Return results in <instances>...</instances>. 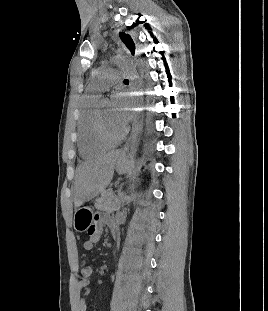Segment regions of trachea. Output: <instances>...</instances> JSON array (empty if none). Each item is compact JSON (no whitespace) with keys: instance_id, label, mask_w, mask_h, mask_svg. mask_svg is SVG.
<instances>
[{"instance_id":"3493384b","label":"trachea","mask_w":268,"mask_h":311,"mask_svg":"<svg viewBox=\"0 0 268 311\" xmlns=\"http://www.w3.org/2000/svg\"><path fill=\"white\" fill-rule=\"evenodd\" d=\"M124 82H128V79H125Z\"/></svg>"}]
</instances>
